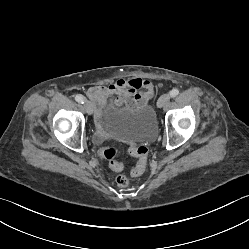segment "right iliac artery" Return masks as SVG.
Masks as SVG:
<instances>
[{"label":"right iliac artery","instance_id":"obj_1","mask_svg":"<svg viewBox=\"0 0 249 249\" xmlns=\"http://www.w3.org/2000/svg\"><path fill=\"white\" fill-rule=\"evenodd\" d=\"M75 100L78 102V103H84V101H85V98H84V96H82V95H76L75 96Z\"/></svg>","mask_w":249,"mask_h":249}]
</instances>
